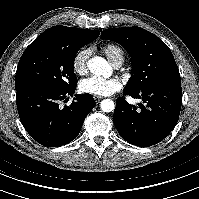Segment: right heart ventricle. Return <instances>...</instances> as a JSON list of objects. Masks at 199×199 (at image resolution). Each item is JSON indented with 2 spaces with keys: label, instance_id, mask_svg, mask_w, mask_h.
<instances>
[{
  "label": "right heart ventricle",
  "instance_id": "obj_1",
  "mask_svg": "<svg viewBox=\"0 0 199 199\" xmlns=\"http://www.w3.org/2000/svg\"><path fill=\"white\" fill-rule=\"evenodd\" d=\"M102 52L113 65L116 63H123L124 61V51L117 44L109 43L105 45L102 48Z\"/></svg>",
  "mask_w": 199,
  "mask_h": 199
}]
</instances>
